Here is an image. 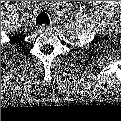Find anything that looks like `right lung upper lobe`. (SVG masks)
<instances>
[{"label": "right lung upper lobe", "instance_id": "cb5924a9", "mask_svg": "<svg viewBox=\"0 0 121 121\" xmlns=\"http://www.w3.org/2000/svg\"><path fill=\"white\" fill-rule=\"evenodd\" d=\"M10 38L13 42H19L21 40L18 36H11Z\"/></svg>", "mask_w": 121, "mask_h": 121}]
</instances>
